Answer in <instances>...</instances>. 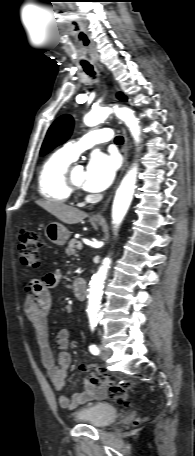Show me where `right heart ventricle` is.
<instances>
[{"label": "right heart ventricle", "instance_id": "obj_1", "mask_svg": "<svg viewBox=\"0 0 195 456\" xmlns=\"http://www.w3.org/2000/svg\"><path fill=\"white\" fill-rule=\"evenodd\" d=\"M72 160L62 150L50 155L38 175V189L42 197L55 202H67L73 192L66 182V172Z\"/></svg>", "mask_w": 195, "mask_h": 456}]
</instances>
